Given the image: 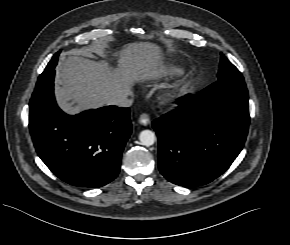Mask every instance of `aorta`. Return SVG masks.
<instances>
[{
	"label": "aorta",
	"instance_id": "762f6f07",
	"mask_svg": "<svg viewBox=\"0 0 290 245\" xmlns=\"http://www.w3.org/2000/svg\"><path fill=\"white\" fill-rule=\"evenodd\" d=\"M140 143L144 146H151L156 141L155 133L151 130H143L139 134Z\"/></svg>",
	"mask_w": 290,
	"mask_h": 245
}]
</instances>
